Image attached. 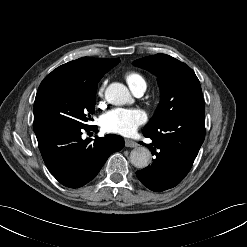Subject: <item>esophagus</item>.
Instances as JSON below:
<instances>
[{
  "instance_id": "1",
  "label": "esophagus",
  "mask_w": 247,
  "mask_h": 247,
  "mask_svg": "<svg viewBox=\"0 0 247 247\" xmlns=\"http://www.w3.org/2000/svg\"><path fill=\"white\" fill-rule=\"evenodd\" d=\"M125 146L133 148V147H137L138 143L131 139H125Z\"/></svg>"
}]
</instances>
